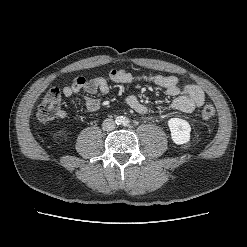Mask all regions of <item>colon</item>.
Segmentation results:
<instances>
[{
  "label": "colon",
  "mask_w": 247,
  "mask_h": 247,
  "mask_svg": "<svg viewBox=\"0 0 247 247\" xmlns=\"http://www.w3.org/2000/svg\"><path fill=\"white\" fill-rule=\"evenodd\" d=\"M61 93L58 88L50 89L42 98L37 115L41 121L47 122L58 117L61 111ZM215 115V108L211 104L204 105L200 110L203 120H210Z\"/></svg>",
  "instance_id": "colon-1"
}]
</instances>
